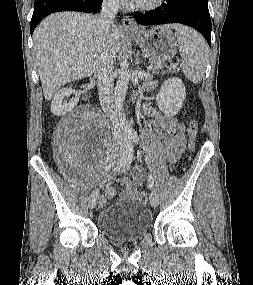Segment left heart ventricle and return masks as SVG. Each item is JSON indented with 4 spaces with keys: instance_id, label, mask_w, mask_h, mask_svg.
I'll use <instances>...</instances> for the list:
<instances>
[{
    "instance_id": "1",
    "label": "left heart ventricle",
    "mask_w": 253,
    "mask_h": 285,
    "mask_svg": "<svg viewBox=\"0 0 253 285\" xmlns=\"http://www.w3.org/2000/svg\"><path fill=\"white\" fill-rule=\"evenodd\" d=\"M148 0H137L136 2H146Z\"/></svg>"
}]
</instances>
